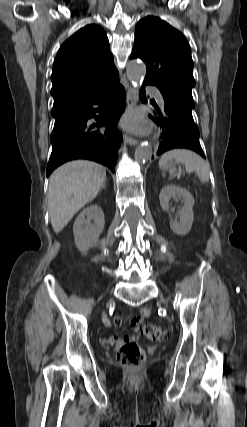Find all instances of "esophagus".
I'll return each instance as SVG.
<instances>
[{
	"instance_id": "obj_1",
	"label": "esophagus",
	"mask_w": 247,
	"mask_h": 427,
	"mask_svg": "<svg viewBox=\"0 0 247 427\" xmlns=\"http://www.w3.org/2000/svg\"><path fill=\"white\" fill-rule=\"evenodd\" d=\"M126 102L128 109H132L137 104V92L132 87H129L127 90ZM125 141L131 146H134L138 143V140L131 136H126Z\"/></svg>"
}]
</instances>
